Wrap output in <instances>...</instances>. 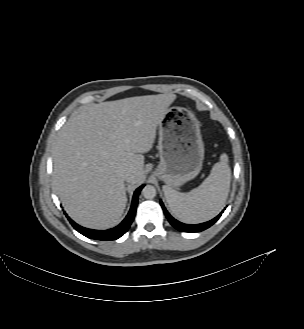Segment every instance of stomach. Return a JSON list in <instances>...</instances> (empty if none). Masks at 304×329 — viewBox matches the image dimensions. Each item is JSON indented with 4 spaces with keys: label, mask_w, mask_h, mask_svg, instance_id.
Instances as JSON below:
<instances>
[{
    "label": "stomach",
    "mask_w": 304,
    "mask_h": 329,
    "mask_svg": "<svg viewBox=\"0 0 304 329\" xmlns=\"http://www.w3.org/2000/svg\"><path fill=\"white\" fill-rule=\"evenodd\" d=\"M160 163L154 174L169 187H180L202 169L204 143L200 123L182 107L168 108L159 122Z\"/></svg>",
    "instance_id": "0dacf381"
}]
</instances>
